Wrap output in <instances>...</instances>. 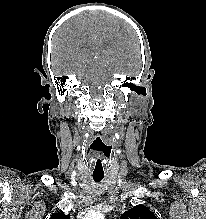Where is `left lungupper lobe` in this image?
I'll list each match as a JSON object with an SVG mask.
<instances>
[{
  "instance_id": "obj_1",
  "label": "left lung upper lobe",
  "mask_w": 206,
  "mask_h": 219,
  "mask_svg": "<svg viewBox=\"0 0 206 219\" xmlns=\"http://www.w3.org/2000/svg\"><path fill=\"white\" fill-rule=\"evenodd\" d=\"M120 219H158L153 212H151L144 205H137L130 210L124 212Z\"/></svg>"
}]
</instances>
